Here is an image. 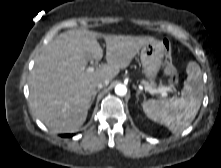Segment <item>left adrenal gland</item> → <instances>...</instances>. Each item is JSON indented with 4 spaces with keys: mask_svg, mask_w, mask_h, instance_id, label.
I'll return each mask as SVG.
<instances>
[{
    "mask_svg": "<svg viewBox=\"0 0 221 168\" xmlns=\"http://www.w3.org/2000/svg\"><path fill=\"white\" fill-rule=\"evenodd\" d=\"M134 88L137 90L136 97H138L140 94H142V92L139 89H137L135 86H134Z\"/></svg>",
    "mask_w": 221,
    "mask_h": 168,
    "instance_id": "left-adrenal-gland-1",
    "label": "left adrenal gland"
}]
</instances>
